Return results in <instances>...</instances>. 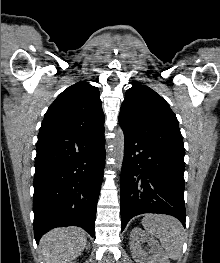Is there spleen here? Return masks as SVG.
Instances as JSON below:
<instances>
[{
    "label": "spleen",
    "mask_w": 220,
    "mask_h": 263,
    "mask_svg": "<svg viewBox=\"0 0 220 263\" xmlns=\"http://www.w3.org/2000/svg\"><path fill=\"white\" fill-rule=\"evenodd\" d=\"M142 225L150 235L159 239L167 257L172 260L181 257L184 228L179 220L167 215L147 214Z\"/></svg>",
    "instance_id": "3e777b00"
}]
</instances>
